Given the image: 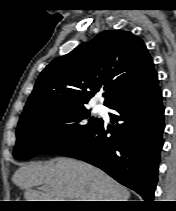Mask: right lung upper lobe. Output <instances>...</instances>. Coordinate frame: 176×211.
<instances>
[{"label": "right lung upper lobe", "mask_w": 176, "mask_h": 211, "mask_svg": "<svg viewBox=\"0 0 176 211\" xmlns=\"http://www.w3.org/2000/svg\"><path fill=\"white\" fill-rule=\"evenodd\" d=\"M157 73L143 41L128 31L99 34L54 59L38 77L21 118L51 109L86 106L100 90L111 108L151 90Z\"/></svg>", "instance_id": "obj_1"}]
</instances>
